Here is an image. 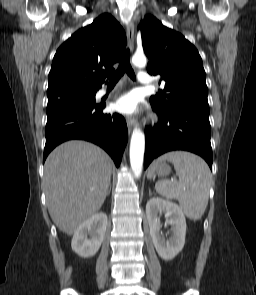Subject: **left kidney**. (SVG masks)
Listing matches in <instances>:
<instances>
[{"instance_id": "left-kidney-1", "label": "left kidney", "mask_w": 256, "mask_h": 295, "mask_svg": "<svg viewBox=\"0 0 256 295\" xmlns=\"http://www.w3.org/2000/svg\"><path fill=\"white\" fill-rule=\"evenodd\" d=\"M161 213L167 217L166 224L171 225V236L168 240L160 234L159 214ZM146 217L152 242L158 255L166 261L172 260L185 244L186 219L183 211L174 202L154 197L146 204Z\"/></svg>"}]
</instances>
